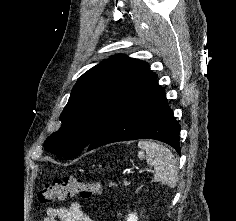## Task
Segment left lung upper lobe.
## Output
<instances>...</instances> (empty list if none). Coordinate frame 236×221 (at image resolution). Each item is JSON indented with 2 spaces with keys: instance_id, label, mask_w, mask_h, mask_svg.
<instances>
[{
  "instance_id": "5c2ea615",
  "label": "left lung upper lobe",
  "mask_w": 236,
  "mask_h": 221,
  "mask_svg": "<svg viewBox=\"0 0 236 221\" xmlns=\"http://www.w3.org/2000/svg\"><path fill=\"white\" fill-rule=\"evenodd\" d=\"M153 72L148 63L115 55L85 72L75 84L61 113V128L44 148L65 159L86 148L110 113Z\"/></svg>"
}]
</instances>
